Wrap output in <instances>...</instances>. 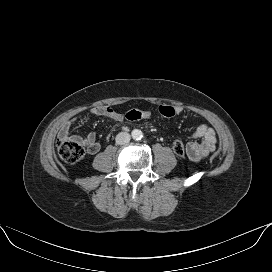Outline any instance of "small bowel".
Listing matches in <instances>:
<instances>
[{
	"label": "small bowel",
	"mask_w": 272,
	"mask_h": 272,
	"mask_svg": "<svg viewBox=\"0 0 272 272\" xmlns=\"http://www.w3.org/2000/svg\"><path fill=\"white\" fill-rule=\"evenodd\" d=\"M175 110L177 115H181L184 111L181 106H177ZM90 112L92 115L105 116L116 122H122L124 120V115L110 106H97L92 108ZM75 120L76 118H72L61 124L58 132L59 140L70 139L77 141L86 145L87 151L90 154L97 153L100 149V145L96 140L94 132H89L85 136L70 135V129ZM191 137L194 140L189 142L185 147V153L191 160L200 161L214 151L217 138L213 128L204 124L198 125L192 132Z\"/></svg>",
	"instance_id": "obj_1"
}]
</instances>
